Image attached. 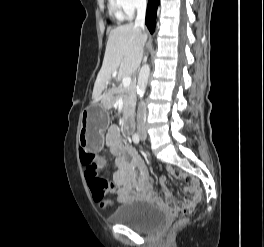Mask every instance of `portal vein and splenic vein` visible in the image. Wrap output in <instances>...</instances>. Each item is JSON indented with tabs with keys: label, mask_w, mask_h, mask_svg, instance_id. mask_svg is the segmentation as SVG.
Wrapping results in <instances>:
<instances>
[{
	"label": "portal vein and splenic vein",
	"mask_w": 264,
	"mask_h": 247,
	"mask_svg": "<svg viewBox=\"0 0 264 247\" xmlns=\"http://www.w3.org/2000/svg\"><path fill=\"white\" fill-rule=\"evenodd\" d=\"M112 75L116 76V73H113ZM130 83H131V78L130 77L123 78V80H122L123 87H128L130 85Z\"/></svg>",
	"instance_id": "portal-vein-and-splenic-vein-1"
}]
</instances>
